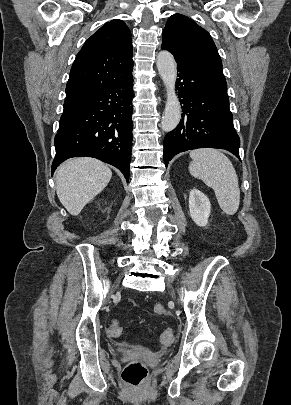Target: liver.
Here are the masks:
<instances>
[{
    "mask_svg": "<svg viewBox=\"0 0 291 405\" xmlns=\"http://www.w3.org/2000/svg\"><path fill=\"white\" fill-rule=\"evenodd\" d=\"M112 177L110 168L89 157L67 160L56 171V192L67 211L77 216Z\"/></svg>",
    "mask_w": 291,
    "mask_h": 405,
    "instance_id": "6515ba94",
    "label": "liver"
}]
</instances>
